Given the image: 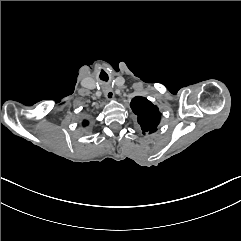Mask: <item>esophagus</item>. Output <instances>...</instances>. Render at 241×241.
Returning <instances> with one entry per match:
<instances>
[{"label":"esophagus","mask_w":241,"mask_h":241,"mask_svg":"<svg viewBox=\"0 0 241 241\" xmlns=\"http://www.w3.org/2000/svg\"><path fill=\"white\" fill-rule=\"evenodd\" d=\"M104 94H105L106 99L109 100V101H112V100L115 99L114 92H113V90L111 88L106 89L104 91Z\"/></svg>","instance_id":"esophagus-1"}]
</instances>
